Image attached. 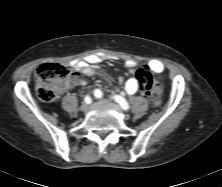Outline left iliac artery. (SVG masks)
Wrapping results in <instances>:
<instances>
[{
    "instance_id": "left-iliac-artery-1",
    "label": "left iliac artery",
    "mask_w": 222,
    "mask_h": 187,
    "mask_svg": "<svg viewBox=\"0 0 222 187\" xmlns=\"http://www.w3.org/2000/svg\"><path fill=\"white\" fill-rule=\"evenodd\" d=\"M94 95L97 98H101L103 96V93H102L101 90L96 89L94 91ZM112 99H114L122 107V109H124V110H128L129 109V104H128V102L123 97H121L119 95H115V96H112Z\"/></svg>"
}]
</instances>
